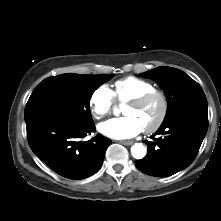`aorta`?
<instances>
[{
	"label": "aorta",
	"instance_id": "762f6f07",
	"mask_svg": "<svg viewBox=\"0 0 221 221\" xmlns=\"http://www.w3.org/2000/svg\"><path fill=\"white\" fill-rule=\"evenodd\" d=\"M131 154L135 159H142L146 155V148L141 143H135L131 147Z\"/></svg>",
	"mask_w": 221,
	"mask_h": 221
}]
</instances>
